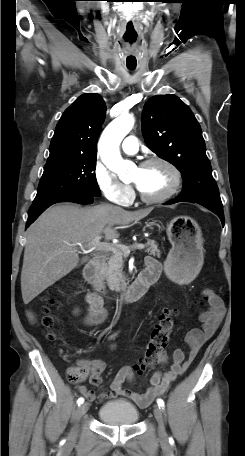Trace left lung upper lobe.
<instances>
[{
    "instance_id": "obj_1",
    "label": "left lung upper lobe",
    "mask_w": 245,
    "mask_h": 456,
    "mask_svg": "<svg viewBox=\"0 0 245 456\" xmlns=\"http://www.w3.org/2000/svg\"><path fill=\"white\" fill-rule=\"evenodd\" d=\"M142 131L148 148L182 173V201L222 208L201 127L185 103L172 94L149 99Z\"/></svg>"
}]
</instances>
